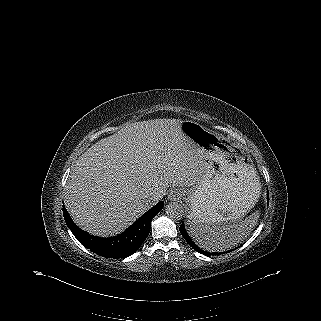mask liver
<instances>
[{
	"instance_id": "obj_1",
	"label": "liver",
	"mask_w": 321,
	"mask_h": 321,
	"mask_svg": "<svg viewBox=\"0 0 321 321\" xmlns=\"http://www.w3.org/2000/svg\"><path fill=\"white\" fill-rule=\"evenodd\" d=\"M181 120L134 122L86 150L72 169L65 206L87 232L106 237L125 230L159 200L168 187L200 181L202 151L180 129ZM177 147L176 154L167 147Z\"/></svg>"
}]
</instances>
